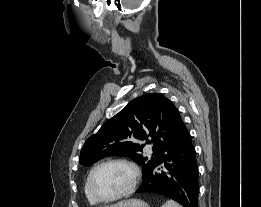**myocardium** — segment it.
Masks as SVG:
<instances>
[{"label":"myocardium","instance_id":"myocardium-1","mask_svg":"<svg viewBox=\"0 0 261 207\" xmlns=\"http://www.w3.org/2000/svg\"><path fill=\"white\" fill-rule=\"evenodd\" d=\"M110 164H122V165H125L128 168H130L132 171V181H131V184L129 185V187L126 190H124L123 192H121L115 196L109 197V198H103V197H100L95 190L94 178L99 169H101L102 167H104L106 165H110ZM139 180H140V170L134 162L127 160V159L115 158V159H109V160L103 161L91 170V172L89 174L88 186H89V191H90L91 196L97 202L110 203V202H114L119 199H122V198L130 195L131 193H133L138 185Z\"/></svg>","mask_w":261,"mask_h":207}]
</instances>
